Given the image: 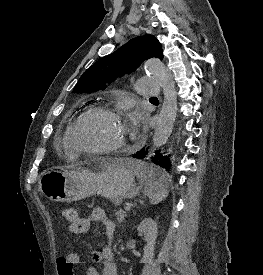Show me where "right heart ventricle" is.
Listing matches in <instances>:
<instances>
[{
  "label": "right heart ventricle",
  "instance_id": "obj_1",
  "mask_svg": "<svg viewBox=\"0 0 263 275\" xmlns=\"http://www.w3.org/2000/svg\"><path fill=\"white\" fill-rule=\"evenodd\" d=\"M73 124V123H72ZM72 124L69 125V127L67 128L66 131V135H65V149L67 151V154L71 157H74L76 155V153L73 151L72 147L70 146V143L68 141V135L71 129Z\"/></svg>",
  "mask_w": 263,
  "mask_h": 275
}]
</instances>
